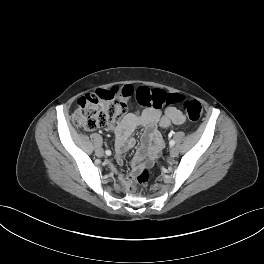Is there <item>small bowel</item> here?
<instances>
[{
  "label": "small bowel",
  "instance_id": "1",
  "mask_svg": "<svg viewBox=\"0 0 264 264\" xmlns=\"http://www.w3.org/2000/svg\"><path fill=\"white\" fill-rule=\"evenodd\" d=\"M185 122L183 113L175 107L168 108L164 114L156 109H145L142 112L127 114L123 121L114 128L117 163L122 164V154L135 145L131 134L138 126L146 128L141 138V145L131 162V173L122 177V183L128 187L131 177L145 167L153 165L160 155L164 142L157 127L167 128Z\"/></svg>",
  "mask_w": 264,
  "mask_h": 264
}]
</instances>
